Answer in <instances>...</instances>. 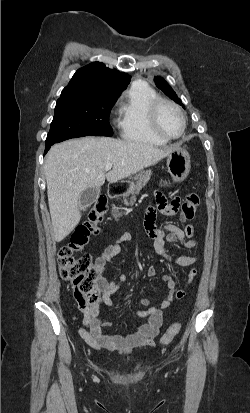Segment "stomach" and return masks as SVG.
<instances>
[{
    "label": "stomach",
    "instance_id": "0dacf381",
    "mask_svg": "<svg viewBox=\"0 0 250 413\" xmlns=\"http://www.w3.org/2000/svg\"><path fill=\"white\" fill-rule=\"evenodd\" d=\"M167 168L172 182L165 181L164 186H170L172 183L183 182L190 172V157L186 150L182 148L175 149L167 156ZM126 187H133V183H127Z\"/></svg>",
    "mask_w": 250,
    "mask_h": 413
}]
</instances>
